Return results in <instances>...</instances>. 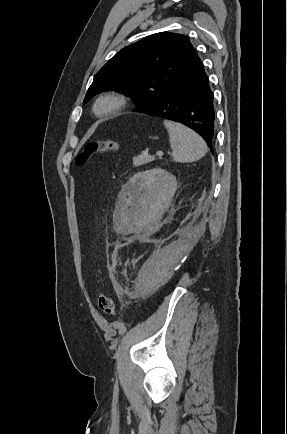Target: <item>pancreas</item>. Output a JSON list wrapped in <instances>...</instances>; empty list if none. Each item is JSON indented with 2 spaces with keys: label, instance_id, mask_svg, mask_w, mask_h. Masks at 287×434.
<instances>
[{
  "label": "pancreas",
  "instance_id": "pancreas-1",
  "mask_svg": "<svg viewBox=\"0 0 287 434\" xmlns=\"http://www.w3.org/2000/svg\"><path fill=\"white\" fill-rule=\"evenodd\" d=\"M154 160L155 158L153 156L142 154L133 158V166L138 167Z\"/></svg>",
  "mask_w": 287,
  "mask_h": 434
}]
</instances>
